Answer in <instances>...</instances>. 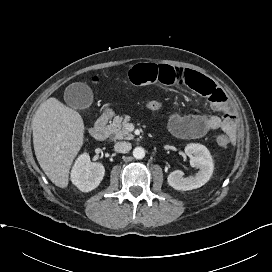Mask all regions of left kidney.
Masks as SVG:
<instances>
[{
	"mask_svg": "<svg viewBox=\"0 0 272 272\" xmlns=\"http://www.w3.org/2000/svg\"><path fill=\"white\" fill-rule=\"evenodd\" d=\"M185 153L190 158V165L198 168L199 172L194 177L184 178L181 170H176L168 175V184L176 190H192L203 186L213 174L214 163L209 150L201 144L191 143L185 147Z\"/></svg>",
	"mask_w": 272,
	"mask_h": 272,
	"instance_id": "5707ae66",
	"label": "left kidney"
}]
</instances>
